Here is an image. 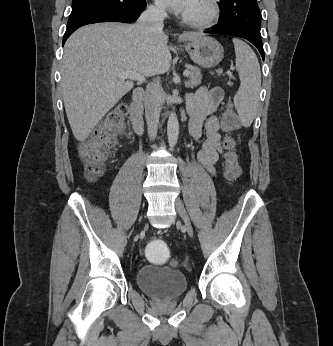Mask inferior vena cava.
Instances as JSON below:
<instances>
[{
    "label": "inferior vena cava",
    "instance_id": "602c4592",
    "mask_svg": "<svg viewBox=\"0 0 333 346\" xmlns=\"http://www.w3.org/2000/svg\"><path fill=\"white\" fill-rule=\"evenodd\" d=\"M166 12L161 6H149L138 18L137 26L147 34H157L163 30V20ZM162 93L160 81L155 80L147 86L145 92V116L148 126V135L150 140H154L157 135L159 124Z\"/></svg>",
    "mask_w": 333,
    "mask_h": 346
}]
</instances>
